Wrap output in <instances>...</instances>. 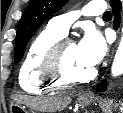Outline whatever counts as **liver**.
Listing matches in <instances>:
<instances>
[{
    "label": "liver",
    "mask_w": 123,
    "mask_h": 113,
    "mask_svg": "<svg viewBox=\"0 0 123 113\" xmlns=\"http://www.w3.org/2000/svg\"><path fill=\"white\" fill-rule=\"evenodd\" d=\"M14 99L18 103L24 104L44 113H54L56 111H61L65 109L72 101L70 95L44 98L16 96Z\"/></svg>",
    "instance_id": "6515ba94"
}]
</instances>
